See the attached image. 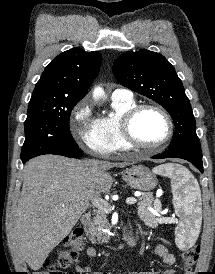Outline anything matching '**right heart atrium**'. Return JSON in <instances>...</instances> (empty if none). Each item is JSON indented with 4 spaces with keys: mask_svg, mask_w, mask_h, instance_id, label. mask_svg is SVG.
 Segmentation results:
<instances>
[{
    "mask_svg": "<svg viewBox=\"0 0 215 274\" xmlns=\"http://www.w3.org/2000/svg\"><path fill=\"white\" fill-rule=\"evenodd\" d=\"M70 131L76 142L87 152L106 156L110 153L107 141L102 136L93 116L90 102L83 99L78 102L71 113Z\"/></svg>",
    "mask_w": 215,
    "mask_h": 274,
    "instance_id": "obj_1",
    "label": "right heart atrium"
}]
</instances>
